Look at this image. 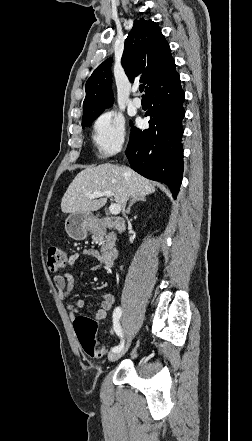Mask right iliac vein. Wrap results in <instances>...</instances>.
<instances>
[{
    "mask_svg": "<svg viewBox=\"0 0 252 441\" xmlns=\"http://www.w3.org/2000/svg\"><path fill=\"white\" fill-rule=\"evenodd\" d=\"M127 349H128V346L125 349H123V350H121L119 352H111V353H109V355H108L109 361H111V362L117 361L118 359H120L125 354Z\"/></svg>",
    "mask_w": 252,
    "mask_h": 441,
    "instance_id": "right-iliac-vein-1",
    "label": "right iliac vein"
}]
</instances>
